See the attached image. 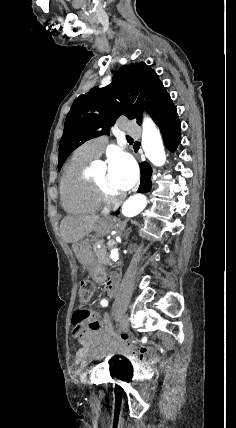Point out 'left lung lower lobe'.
<instances>
[{
	"label": "left lung lower lobe",
	"instance_id": "left-lung-lower-lobe-1",
	"mask_svg": "<svg viewBox=\"0 0 236 428\" xmlns=\"http://www.w3.org/2000/svg\"><path fill=\"white\" fill-rule=\"evenodd\" d=\"M153 119L160 128L165 146L168 150L174 152L180 142L181 125L173 102L162 108ZM140 168L141 183L138 192H149L151 189L152 168L147 163H141ZM113 214L117 215L119 211Z\"/></svg>",
	"mask_w": 236,
	"mask_h": 428
}]
</instances>
